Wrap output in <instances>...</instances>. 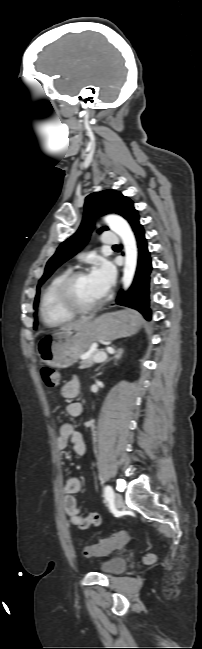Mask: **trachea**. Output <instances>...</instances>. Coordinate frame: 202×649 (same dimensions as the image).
<instances>
[{"instance_id":"3493384b","label":"trachea","mask_w":202,"mask_h":649,"mask_svg":"<svg viewBox=\"0 0 202 649\" xmlns=\"http://www.w3.org/2000/svg\"><path fill=\"white\" fill-rule=\"evenodd\" d=\"M113 247H119V246H118V245H115V246H113Z\"/></svg>"}]
</instances>
